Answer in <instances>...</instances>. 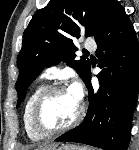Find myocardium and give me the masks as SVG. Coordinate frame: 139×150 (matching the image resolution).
<instances>
[{
  "label": "myocardium",
  "mask_w": 139,
  "mask_h": 150,
  "mask_svg": "<svg viewBox=\"0 0 139 150\" xmlns=\"http://www.w3.org/2000/svg\"><path fill=\"white\" fill-rule=\"evenodd\" d=\"M62 90H69V89L66 86L61 84H52L46 86L43 89V91L40 93V95L37 97L33 105L32 113H31V124L33 129L42 136L54 135V134L71 130L81 122L84 116L85 106L81 101H79L80 103H79L77 114L75 115L74 119L70 123L58 128H49L43 125V123L41 122V111L44 103L53 93Z\"/></svg>",
  "instance_id": "myocardium-1"
}]
</instances>
